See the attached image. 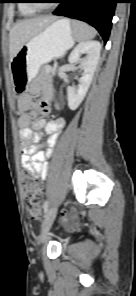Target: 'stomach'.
Returning <instances> with one entry per match:
<instances>
[{"mask_svg":"<svg viewBox=\"0 0 136 296\" xmlns=\"http://www.w3.org/2000/svg\"><path fill=\"white\" fill-rule=\"evenodd\" d=\"M74 41L69 21L59 19L26 42L11 61L17 94H27V90H30V85H19V82L25 84L33 81L44 64L62 57Z\"/></svg>","mask_w":136,"mask_h":296,"instance_id":"1","label":"stomach"}]
</instances>
